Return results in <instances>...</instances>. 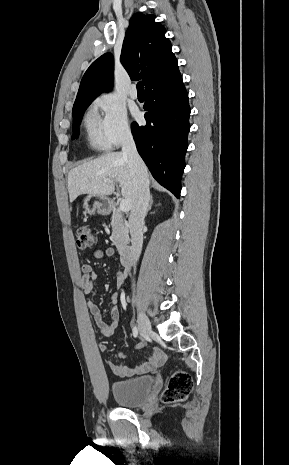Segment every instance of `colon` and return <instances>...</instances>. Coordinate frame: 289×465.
Segmentation results:
<instances>
[{"mask_svg":"<svg viewBox=\"0 0 289 465\" xmlns=\"http://www.w3.org/2000/svg\"><path fill=\"white\" fill-rule=\"evenodd\" d=\"M76 243L81 250L94 247L96 239L90 226L82 225L78 227L76 230ZM192 387L190 376L184 372H177L171 376L162 398L169 403L182 401L190 394Z\"/></svg>","mask_w":289,"mask_h":465,"instance_id":"obj_1","label":"colon"}]
</instances>
